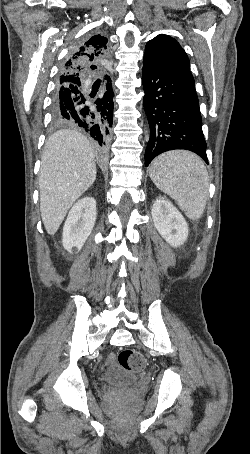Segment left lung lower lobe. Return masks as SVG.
Wrapping results in <instances>:
<instances>
[{
	"mask_svg": "<svg viewBox=\"0 0 250 454\" xmlns=\"http://www.w3.org/2000/svg\"><path fill=\"white\" fill-rule=\"evenodd\" d=\"M144 109L151 129L145 166L159 154L185 149L208 164L206 142L194 78L189 70L174 69L143 59Z\"/></svg>",
	"mask_w": 250,
	"mask_h": 454,
	"instance_id": "left-lung-lower-lobe-1",
	"label": "left lung lower lobe"
}]
</instances>
